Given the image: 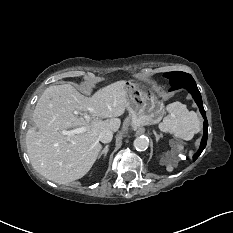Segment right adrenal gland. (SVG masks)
Wrapping results in <instances>:
<instances>
[{
	"label": "right adrenal gland",
	"mask_w": 233,
	"mask_h": 233,
	"mask_svg": "<svg viewBox=\"0 0 233 233\" xmlns=\"http://www.w3.org/2000/svg\"><path fill=\"white\" fill-rule=\"evenodd\" d=\"M109 150V145H105L104 149L102 152L99 154L98 159L103 155L104 157L106 156L107 152Z\"/></svg>",
	"instance_id": "1"
}]
</instances>
